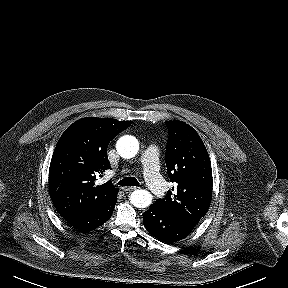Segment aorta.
Returning <instances> with one entry per match:
<instances>
[{
  "label": "aorta",
  "mask_w": 288,
  "mask_h": 288,
  "mask_svg": "<svg viewBox=\"0 0 288 288\" xmlns=\"http://www.w3.org/2000/svg\"><path fill=\"white\" fill-rule=\"evenodd\" d=\"M118 154L126 159L134 157L139 150L138 140L131 135L121 137L116 144ZM152 195L147 190H135L130 195V202L137 208H146L152 203Z\"/></svg>",
  "instance_id": "obj_1"
}]
</instances>
